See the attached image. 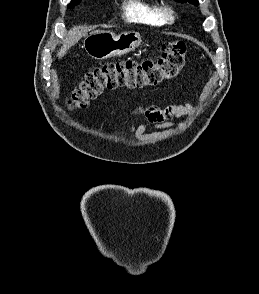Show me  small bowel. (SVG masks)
I'll list each match as a JSON object with an SVG mask.
<instances>
[{
	"instance_id": "obj_1",
	"label": "small bowel",
	"mask_w": 259,
	"mask_h": 294,
	"mask_svg": "<svg viewBox=\"0 0 259 294\" xmlns=\"http://www.w3.org/2000/svg\"><path fill=\"white\" fill-rule=\"evenodd\" d=\"M196 111V107L191 103L181 104V105H168V106H150L144 107L141 104L135 105L130 111L129 116H137L144 113L147 117L149 123L165 125V128L154 134L155 137H165L171 135L174 132L173 123L170 121L173 117H182L190 115ZM184 124H181L182 128ZM129 130H133V126L129 125ZM136 134L143 138L146 136L145 127L140 126L136 130Z\"/></svg>"
}]
</instances>
